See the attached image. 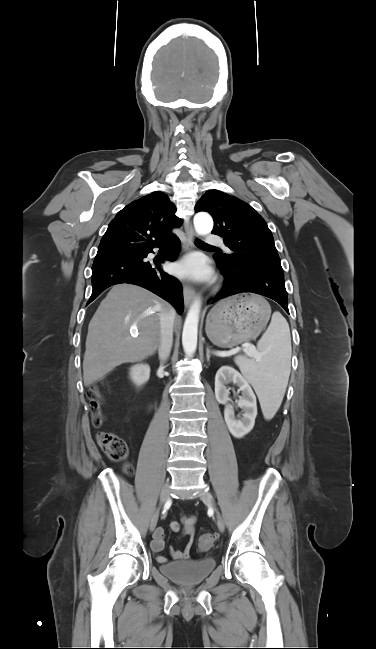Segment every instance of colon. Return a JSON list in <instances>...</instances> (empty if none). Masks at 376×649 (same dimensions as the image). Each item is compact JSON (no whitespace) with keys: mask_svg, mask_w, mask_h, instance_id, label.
<instances>
[{"mask_svg":"<svg viewBox=\"0 0 376 649\" xmlns=\"http://www.w3.org/2000/svg\"><path fill=\"white\" fill-rule=\"evenodd\" d=\"M87 397L91 404L92 409V422L95 427H100L103 424L104 417L101 412V392L99 387H91L87 392ZM98 445L108 456L109 459L115 462H123L128 456V446L126 442L114 433L100 431L96 435ZM123 469L126 474H131L133 468L130 464H124ZM215 538L212 534H203L198 540V549L200 551H208L212 548Z\"/></svg>","mask_w":376,"mask_h":649,"instance_id":"colon-1","label":"colon"}]
</instances>
